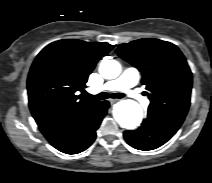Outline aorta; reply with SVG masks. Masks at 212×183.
<instances>
[{
    "label": "aorta",
    "mask_w": 212,
    "mask_h": 183,
    "mask_svg": "<svg viewBox=\"0 0 212 183\" xmlns=\"http://www.w3.org/2000/svg\"><path fill=\"white\" fill-rule=\"evenodd\" d=\"M99 72L105 79H114L119 76L121 66L116 60H103ZM113 115L118 124L125 129H134L142 121L143 113L140 105L133 100L118 102L113 110Z\"/></svg>",
    "instance_id": "obj_1"
}]
</instances>
